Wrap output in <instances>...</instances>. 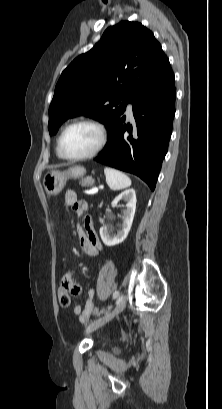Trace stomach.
<instances>
[{
  "instance_id": "stomach-1",
  "label": "stomach",
  "mask_w": 222,
  "mask_h": 409,
  "mask_svg": "<svg viewBox=\"0 0 222 409\" xmlns=\"http://www.w3.org/2000/svg\"><path fill=\"white\" fill-rule=\"evenodd\" d=\"M85 173V168L79 165L72 166L66 171H49L43 178L44 190L49 196L57 195L64 188L68 179L82 178Z\"/></svg>"
}]
</instances>
